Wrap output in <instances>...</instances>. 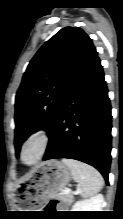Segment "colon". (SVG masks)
I'll return each mask as SVG.
<instances>
[{
  "mask_svg": "<svg viewBox=\"0 0 123 219\" xmlns=\"http://www.w3.org/2000/svg\"><path fill=\"white\" fill-rule=\"evenodd\" d=\"M48 207L51 209H55V208H60L61 205H60V202L58 200H51Z\"/></svg>",
  "mask_w": 123,
  "mask_h": 219,
  "instance_id": "5ec220e1",
  "label": "colon"
}]
</instances>
